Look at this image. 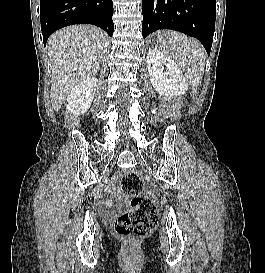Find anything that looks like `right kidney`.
Wrapping results in <instances>:
<instances>
[{"mask_svg":"<svg viewBox=\"0 0 265 273\" xmlns=\"http://www.w3.org/2000/svg\"><path fill=\"white\" fill-rule=\"evenodd\" d=\"M96 87L97 79L95 77L81 81L68 95L66 109L75 115L84 114L90 108Z\"/></svg>","mask_w":265,"mask_h":273,"instance_id":"ca27d5eb","label":"right kidney"}]
</instances>
